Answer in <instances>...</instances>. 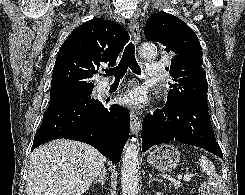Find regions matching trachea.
<instances>
[{
  "label": "trachea",
  "mask_w": 245,
  "mask_h": 195,
  "mask_svg": "<svg viewBox=\"0 0 245 195\" xmlns=\"http://www.w3.org/2000/svg\"><path fill=\"white\" fill-rule=\"evenodd\" d=\"M128 68L135 74L141 75V69L135 58V46L133 43H129L126 46L118 66L105 70L104 76H114L115 81H119L123 78Z\"/></svg>",
  "instance_id": "trachea-1"
}]
</instances>
